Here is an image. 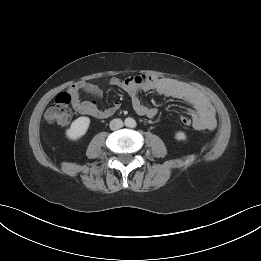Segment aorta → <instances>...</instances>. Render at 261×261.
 I'll list each match as a JSON object with an SVG mask.
<instances>
[{"label":"aorta","instance_id":"1","mask_svg":"<svg viewBox=\"0 0 261 261\" xmlns=\"http://www.w3.org/2000/svg\"><path fill=\"white\" fill-rule=\"evenodd\" d=\"M125 125L128 127H133L135 125V120L133 118H126Z\"/></svg>","mask_w":261,"mask_h":261}]
</instances>
